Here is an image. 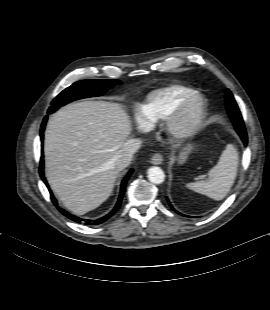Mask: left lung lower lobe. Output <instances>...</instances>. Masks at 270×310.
<instances>
[{
  "mask_svg": "<svg viewBox=\"0 0 270 310\" xmlns=\"http://www.w3.org/2000/svg\"><path fill=\"white\" fill-rule=\"evenodd\" d=\"M238 134L240 135L244 145L246 146L247 145V134H246V131H243V132H238ZM169 202V201H168ZM170 207L174 210V208L172 207V205L169 203ZM179 213V212H178ZM180 214V213H179Z\"/></svg>",
  "mask_w": 270,
  "mask_h": 310,
  "instance_id": "obj_1",
  "label": "left lung lower lobe"
}]
</instances>
